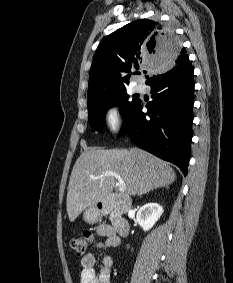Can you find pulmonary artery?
Here are the masks:
<instances>
[{
	"instance_id": "obj_1",
	"label": "pulmonary artery",
	"mask_w": 233,
	"mask_h": 283,
	"mask_svg": "<svg viewBox=\"0 0 233 283\" xmlns=\"http://www.w3.org/2000/svg\"><path fill=\"white\" fill-rule=\"evenodd\" d=\"M135 90H136L137 92H142V91H143L142 85H136Z\"/></svg>"
}]
</instances>
